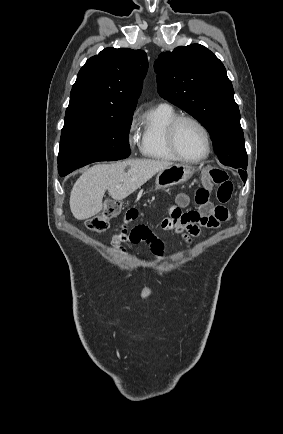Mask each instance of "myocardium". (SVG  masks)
<instances>
[{"label":"myocardium","instance_id":"1","mask_svg":"<svg viewBox=\"0 0 283 434\" xmlns=\"http://www.w3.org/2000/svg\"><path fill=\"white\" fill-rule=\"evenodd\" d=\"M185 121H189L194 123L202 132L203 136H204V140H205V151L204 153L197 157V158H189L184 156L180 151L179 148L177 146V141H176V134H177V129L179 127V125L182 122ZM166 138H167V144L169 146L170 151L172 152V154L180 161L183 162H187V163H199L203 160H205L210 152H211V138H210V134L208 129L206 128V126L196 117L194 116H190V115H178L176 116L168 125L167 130H166Z\"/></svg>","mask_w":283,"mask_h":434}]
</instances>
